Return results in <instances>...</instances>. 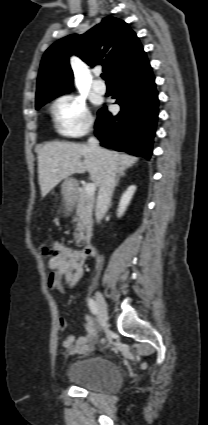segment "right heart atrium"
Here are the masks:
<instances>
[{"label":"right heart atrium","instance_id":"d8ad5b80","mask_svg":"<svg viewBox=\"0 0 208 425\" xmlns=\"http://www.w3.org/2000/svg\"><path fill=\"white\" fill-rule=\"evenodd\" d=\"M52 111L58 130L67 136H81L92 128L93 119L86 103L76 95L59 97Z\"/></svg>","mask_w":208,"mask_h":425}]
</instances>
